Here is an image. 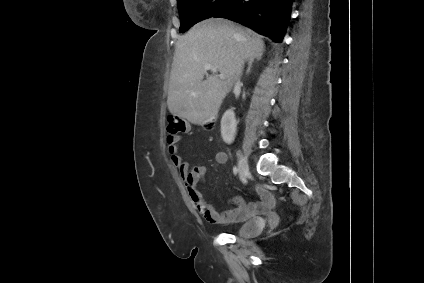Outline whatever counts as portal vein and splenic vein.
<instances>
[{"mask_svg": "<svg viewBox=\"0 0 424 283\" xmlns=\"http://www.w3.org/2000/svg\"><path fill=\"white\" fill-rule=\"evenodd\" d=\"M204 69L205 70H210V71H212V72H217V68L216 67H214V66H212L211 64H206V65H204ZM219 78L220 79H224V75L223 74H220L219 75Z\"/></svg>", "mask_w": 424, "mask_h": 283, "instance_id": "1", "label": "portal vein and splenic vein"}]
</instances>
